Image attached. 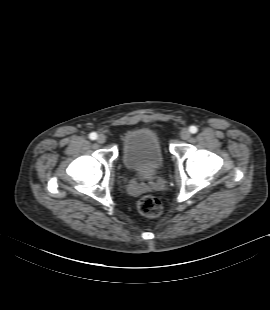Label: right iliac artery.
<instances>
[{"instance_id":"82829eb1","label":"right iliac artery","mask_w":270,"mask_h":310,"mask_svg":"<svg viewBox=\"0 0 270 310\" xmlns=\"http://www.w3.org/2000/svg\"><path fill=\"white\" fill-rule=\"evenodd\" d=\"M89 138L91 140H95L97 138V134L95 132L90 133Z\"/></svg>"}]
</instances>
